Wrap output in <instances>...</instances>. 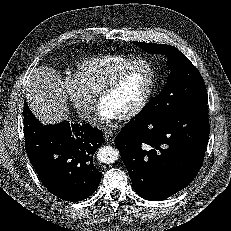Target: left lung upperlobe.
<instances>
[{
  "instance_id": "left-lung-upper-lobe-1",
  "label": "left lung upper lobe",
  "mask_w": 231,
  "mask_h": 231,
  "mask_svg": "<svg viewBox=\"0 0 231 231\" xmlns=\"http://www.w3.org/2000/svg\"><path fill=\"white\" fill-rule=\"evenodd\" d=\"M135 44L151 54L165 55L171 70L163 90L147 103L142 111L135 116V120H159L188 108L208 104L204 80L182 52L165 44L145 42H135Z\"/></svg>"
}]
</instances>
